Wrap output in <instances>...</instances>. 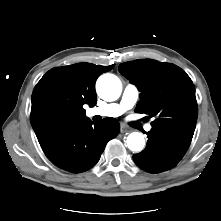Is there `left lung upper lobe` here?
Wrapping results in <instances>:
<instances>
[{
	"mask_svg": "<svg viewBox=\"0 0 221 221\" xmlns=\"http://www.w3.org/2000/svg\"><path fill=\"white\" fill-rule=\"evenodd\" d=\"M118 70L138 87L141 99L136 111L154 117L153 128L192 140L198 109L195 87L186 72L152 59L125 62Z\"/></svg>",
	"mask_w": 221,
	"mask_h": 221,
	"instance_id": "5c2ea615",
	"label": "left lung upper lobe"
}]
</instances>
